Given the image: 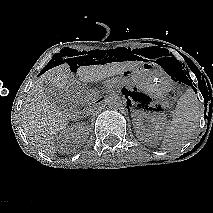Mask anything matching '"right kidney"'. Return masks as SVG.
I'll return each instance as SVG.
<instances>
[{
  "instance_id": "right-kidney-1",
  "label": "right kidney",
  "mask_w": 213,
  "mask_h": 213,
  "mask_svg": "<svg viewBox=\"0 0 213 213\" xmlns=\"http://www.w3.org/2000/svg\"><path fill=\"white\" fill-rule=\"evenodd\" d=\"M60 137L68 139L70 137L86 139L88 137L87 126L85 124H77L76 126L69 128L67 131H64Z\"/></svg>"
}]
</instances>
